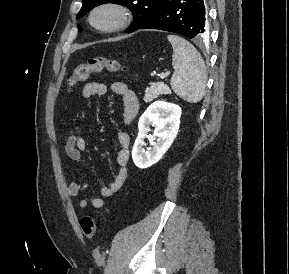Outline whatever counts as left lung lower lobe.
<instances>
[{
  "mask_svg": "<svg viewBox=\"0 0 289 274\" xmlns=\"http://www.w3.org/2000/svg\"><path fill=\"white\" fill-rule=\"evenodd\" d=\"M138 29L164 30L200 40L207 35L204 0H165Z\"/></svg>",
  "mask_w": 289,
  "mask_h": 274,
  "instance_id": "obj_1",
  "label": "left lung lower lobe"
}]
</instances>
